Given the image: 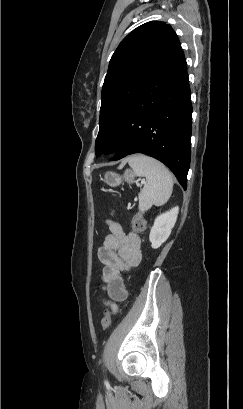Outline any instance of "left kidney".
Here are the masks:
<instances>
[{
  "label": "left kidney",
  "mask_w": 243,
  "mask_h": 409,
  "mask_svg": "<svg viewBox=\"0 0 243 409\" xmlns=\"http://www.w3.org/2000/svg\"><path fill=\"white\" fill-rule=\"evenodd\" d=\"M178 212L179 208L174 207L157 216L149 234L152 248H159L168 239L176 223Z\"/></svg>",
  "instance_id": "obj_1"
}]
</instances>
